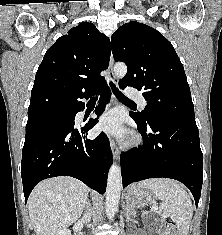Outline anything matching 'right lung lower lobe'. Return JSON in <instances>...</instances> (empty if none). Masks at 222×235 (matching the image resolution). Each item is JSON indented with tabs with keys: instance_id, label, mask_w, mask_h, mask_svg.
<instances>
[{
	"instance_id": "98d812e1",
	"label": "right lung lower lobe",
	"mask_w": 222,
	"mask_h": 235,
	"mask_svg": "<svg viewBox=\"0 0 222 235\" xmlns=\"http://www.w3.org/2000/svg\"><path fill=\"white\" fill-rule=\"evenodd\" d=\"M94 93L100 94L95 113L101 114L105 110V100L110 97L105 82L93 92L64 102L56 109L52 116L66 125L26 136L21 163L25 202L38 182L55 176L77 178L100 194L106 191L108 170L113 161L109 139L103 132L94 139L86 138L98 119H90L80 126L75 123V115L84 109L81 99Z\"/></svg>"
}]
</instances>
